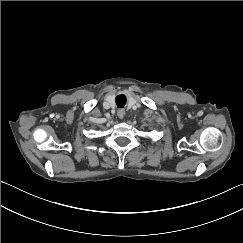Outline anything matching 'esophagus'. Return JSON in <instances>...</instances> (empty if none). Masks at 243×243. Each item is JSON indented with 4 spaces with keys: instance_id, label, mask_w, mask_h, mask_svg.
I'll use <instances>...</instances> for the list:
<instances>
[{
    "instance_id": "obj_1",
    "label": "esophagus",
    "mask_w": 243,
    "mask_h": 243,
    "mask_svg": "<svg viewBox=\"0 0 243 243\" xmlns=\"http://www.w3.org/2000/svg\"><path fill=\"white\" fill-rule=\"evenodd\" d=\"M117 115H118V117H119L120 119H123V117H124V115H125V111H124V109H119V110L117 111Z\"/></svg>"
}]
</instances>
